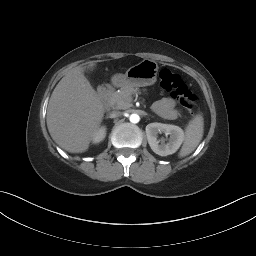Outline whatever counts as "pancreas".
I'll list each match as a JSON object with an SVG mask.
<instances>
[{
  "mask_svg": "<svg viewBox=\"0 0 256 256\" xmlns=\"http://www.w3.org/2000/svg\"><path fill=\"white\" fill-rule=\"evenodd\" d=\"M137 90L132 87H125L109 95L110 105L116 109H127L132 105V95Z\"/></svg>",
  "mask_w": 256,
  "mask_h": 256,
  "instance_id": "cf45deb5",
  "label": "pancreas"
}]
</instances>
